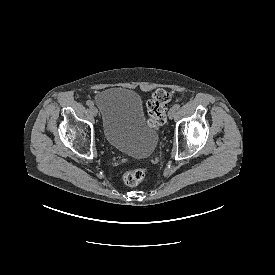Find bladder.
<instances>
[{
  "label": "bladder",
  "instance_id": "31cf9c89",
  "mask_svg": "<svg viewBox=\"0 0 275 275\" xmlns=\"http://www.w3.org/2000/svg\"><path fill=\"white\" fill-rule=\"evenodd\" d=\"M105 140L115 149L135 158L150 156L157 134L145 121L138 94L131 89L111 88L97 94Z\"/></svg>",
  "mask_w": 275,
  "mask_h": 275
}]
</instances>
